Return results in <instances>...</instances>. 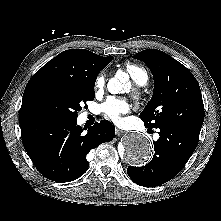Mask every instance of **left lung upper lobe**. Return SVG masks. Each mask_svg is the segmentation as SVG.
<instances>
[{"mask_svg":"<svg viewBox=\"0 0 221 221\" xmlns=\"http://www.w3.org/2000/svg\"><path fill=\"white\" fill-rule=\"evenodd\" d=\"M133 58L146 63L154 77L153 96L140 114L146 128L174 126L199 135L204 121V105L193 74L157 49L143 50Z\"/></svg>","mask_w":221,"mask_h":221,"instance_id":"1","label":"left lung upper lobe"}]
</instances>
